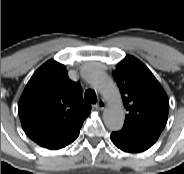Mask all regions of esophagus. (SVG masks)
Segmentation results:
<instances>
[{
	"label": "esophagus",
	"mask_w": 184,
	"mask_h": 174,
	"mask_svg": "<svg viewBox=\"0 0 184 174\" xmlns=\"http://www.w3.org/2000/svg\"><path fill=\"white\" fill-rule=\"evenodd\" d=\"M95 107L98 110H103L106 107V103H105V101L103 99H99L97 104L95 105Z\"/></svg>",
	"instance_id": "1"
}]
</instances>
